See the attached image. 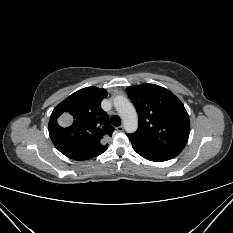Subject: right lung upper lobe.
<instances>
[{"label":"right lung upper lobe","mask_w":233,"mask_h":233,"mask_svg":"<svg viewBox=\"0 0 233 233\" xmlns=\"http://www.w3.org/2000/svg\"><path fill=\"white\" fill-rule=\"evenodd\" d=\"M106 96L105 89L83 88L53 110L49 134L62 154L74 160H88L107 150L114 127L100 106Z\"/></svg>","instance_id":"cb5924a9"}]
</instances>
